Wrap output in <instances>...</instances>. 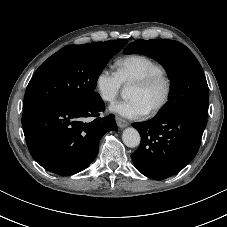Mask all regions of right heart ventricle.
Masks as SVG:
<instances>
[{
	"label": "right heart ventricle",
	"mask_w": 227,
	"mask_h": 227,
	"mask_svg": "<svg viewBox=\"0 0 227 227\" xmlns=\"http://www.w3.org/2000/svg\"><path fill=\"white\" fill-rule=\"evenodd\" d=\"M116 73L122 84H132L146 76L164 72L161 64L144 55H129L115 62Z\"/></svg>",
	"instance_id": "obj_1"
}]
</instances>
